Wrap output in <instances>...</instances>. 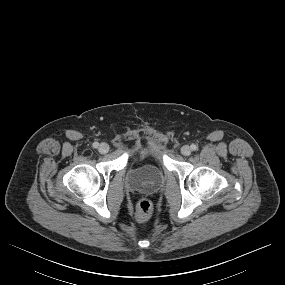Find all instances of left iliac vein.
Segmentation results:
<instances>
[{
	"instance_id": "left-iliac-vein-1",
	"label": "left iliac vein",
	"mask_w": 285,
	"mask_h": 285,
	"mask_svg": "<svg viewBox=\"0 0 285 285\" xmlns=\"http://www.w3.org/2000/svg\"><path fill=\"white\" fill-rule=\"evenodd\" d=\"M181 153L184 155V156H189L191 154V148L188 146V145H184L182 148H181Z\"/></svg>"
}]
</instances>
